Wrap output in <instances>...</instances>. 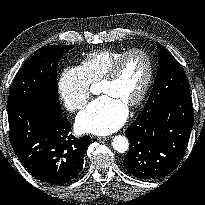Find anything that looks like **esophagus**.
<instances>
[{
  "mask_svg": "<svg viewBox=\"0 0 205 205\" xmlns=\"http://www.w3.org/2000/svg\"><path fill=\"white\" fill-rule=\"evenodd\" d=\"M111 138H112V136H105V137H100L99 139L102 140V141H107Z\"/></svg>",
  "mask_w": 205,
  "mask_h": 205,
  "instance_id": "obj_1",
  "label": "esophagus"
}]
</instances>
